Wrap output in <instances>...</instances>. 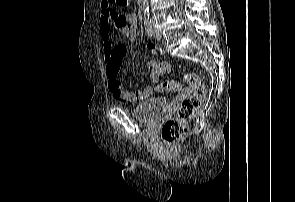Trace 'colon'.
<instances>
[{
    "instance_id": "obj_1",
    "label": "colon",
    "mask_w": 295,
    "mask_h": 202,
    "mask_svg": "<svg viewBox=\"0 0 295 202\" xmlns=\"http://www.w3.org/2000/svg\"><path fill=\"white\" fill-rule=\"evenodd\" d=\"M119 6H130L132 0H110ZM117 60V59H116ZM147 68L153 75H163L173 70L172 64L166 61H155V56H146ZM184 80L192 89L190 98H186L181 103L174 118L167 120L161 129L162 139L169 144H174L182 140L188 133V122L194 113L200 109L206 97V87L202 77L194 72H185ZM155 89L158 92L178 91L181 84L174 80H166L158 84Z\"/></svg>"
}]
</instances>
